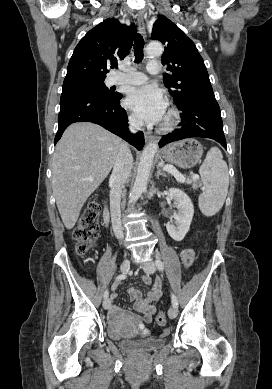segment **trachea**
Segmentation results:
<instances>
[{
    "label": "trachea",
    "mask_w": 272,
    "mask_h": 389,
    "mask_svg": "<svg viewBox=\"0 0 272 389\" xmlns=\"http://www.w3.org/2000/svg\"><path fill=\"white\" fill-rule=\"evenodd\" d=\"M144 39L140 34H137L134 41L135 62H140L143 59Z\"/></svg>",
    "instance_id": "trachea-1"
}]
</instances>
